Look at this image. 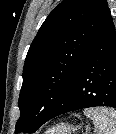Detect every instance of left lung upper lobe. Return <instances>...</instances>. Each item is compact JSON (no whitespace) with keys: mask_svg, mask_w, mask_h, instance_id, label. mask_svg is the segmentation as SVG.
Returning <instances> with one entry per match:
<instances>
[{"mask_svg":"<svg viewBox=\"0 0 116 134\" xmlns=\"http://www.w3.org/2000/svg\"><path fill=\"white\" fill-rule=\"evenodd\" d=\"M110 16L106 0H63L48 15L26 56L16 133L35 132L71 97L73 80Z\"/></svg>","mask_w":116,"mask_h":134,"instance_id":"5c2ea615","label":"left lung upper lobe"}]
</instances>
